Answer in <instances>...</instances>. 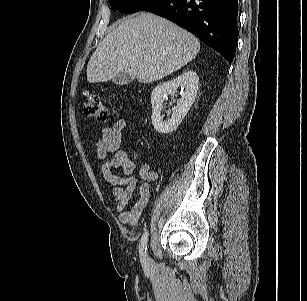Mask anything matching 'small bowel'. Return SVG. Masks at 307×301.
Returning a JSON list of instances; mask_svg holds the SVG:
<instances>
[{"label": "small bowel", "instance_id": "c3829d8e", "mask_svg": "<svg viewBox=\"0 0 307 301\" xmlns=\"http://www.w3.org/2000/svg\"><path fill=\"white\" fill-rule=\"evenodd\" d=\"M128 127L127 120L118 119L112 126H105L101 130V136L94 143L96 157L100 164L103 178L112 185V193L116 199L119 220L123 224L134 225L144 211L150 198V183L157 179V174L150 171L147 162H143L139 168V177L143 182L138 185V178L132 176L136 169V162L129 152L120 150L123 132ZM110 157L103 161L107 154ZM120 170L122 175L115 173ZM138 189L139 199L130 210L124 208L132 200Z\"/></svg>", "mask_w": 307, "mask_h": 301}]
</instances>
